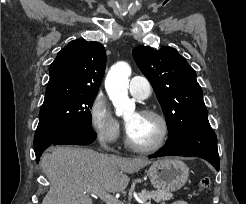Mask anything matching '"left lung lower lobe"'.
<instances>
[{
	"label": "left lung lower lobe",
	"mask_w": 246,
	"mask_h": 204,
	"mask_svg": "<svg viewBox=\"0 0 246 204\" xmlns=\"http://www.w3.org/2000/svg\"><path fill=\"white\" fill-rule=\"evenodd\" d=\"M169 155L197 156L219 170L217 137L209 123L188 127L169 137L166 145L150 158Z\"/></svg>",
	"instance_id": "0a47b994"
}]
</instances>
